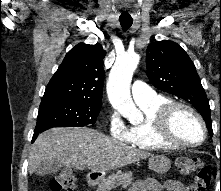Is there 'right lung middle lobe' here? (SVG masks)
I'll return each mask as SVG.
<instances>
[{
  "label": "right lung middle lobe",
  "instance_id": "obj_1",
  "mask_svg": "<svg viewBox=\"0 0 221 191\" xmlns=\"http://www.w3.org/2000/svg\"><path fill=\"white\" fill-rule=\"evenodd\" d=\"M102 103L62 101L40 104L35 130L51 127H82L94 124Z\"/></svg>",
  "mask_w": 221,
  "mask_h": 191
}]
</instances>
